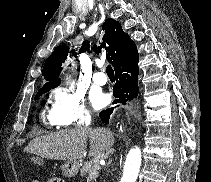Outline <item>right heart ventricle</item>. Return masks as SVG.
<instances>
[{
    "label": "right heart ventricle",
    "instance_id": "e07e8e85",
    "mask_svg": "<svg viewBox=\"0 0 211 182\" xmlns=\"http://www.w3.org/2000/svg\"><path fill=\"white\" fill-rule=\"evenodd\" d=\"M43 122H45L47 124L48 127L52 128V127H56L58 126V124L55 122V120L53 119L51 113L49 114H45L44 112L41 115Z\"/></svg>",
    "mask_w": 211,
    "mask_h": 182
}]
</instances>
